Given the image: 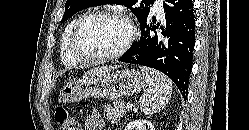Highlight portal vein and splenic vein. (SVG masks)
<instances>
[{
    "label": "portal vein and splenic vein",
    "instance_id": "18ae733b",
    "mask_svg": "<svg viewBox=\"0 0 249 130\" xmlns=\"http://www.w3.org/2000/svg\"><path fill=\"white\" fill-rule=\"evenodd\" d=\"M126 107H127L128 109H132L133 104H131V103H127Z\"/></svg>",
    "mask_w": 249,
    "mask_h": 130
}]
</instances>
